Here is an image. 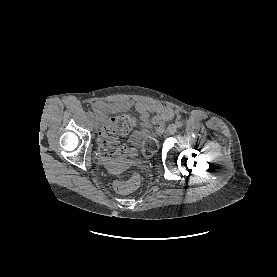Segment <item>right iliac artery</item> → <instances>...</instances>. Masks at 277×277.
<instances>
[{
  "instance_id": "1",
  "label": "right iliac artery",
  "mask_w": 277,
  "mask_h": 277,
  "mask_svg": "<svg viewBox=\"0 0 277 277\" xmlns=\"http://www.w3.org/2000/svg\"><path fill=\"white\" fill-rule=\"evenodd\" d=\"M87 116H88V118L90 119V120H92V121H94V115H93V113L92 112H87Z\"/></svg>"
}]
</instances>
